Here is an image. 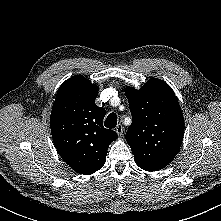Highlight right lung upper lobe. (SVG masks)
Wrapping results in <instances>:
<instances>
[{
  "label": "right lung upper lobe",
  "mask_w": 221,
  "mask_h": 221,
  "mask_svg": "<svg viewBox=\"0 0 221 221\" xmlns=\"http://www.w3.org/2000/svg\"><path fill=\"white\" fill-rule=\"evenodd\" d=\"M98 86L82 75L59 88L50 115L55 147L74 171L93 174L105 164L109 144L117 133L103 127L105 109L95 104Z\"/></svg>",
  "instance_id": "obj_1"
}]
</instances>
